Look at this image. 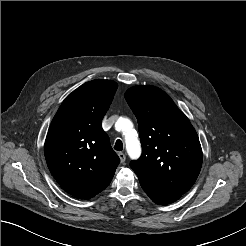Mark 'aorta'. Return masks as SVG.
Instances as JSON below:
<instances>
[{"label": "aorta", "instance_id": "1", "mask_svg": "<svg viewBox=\"0 0 246 246\" xmlns=\"http://www.w3.org/2000/svg\"><path fill=\"white\" fill-rule=\"evenodd\" d=\"M121 126L125 136L126 150L131 159H138L141 155V145L137 137V132L133 129L132 122L127 118L117 121Z\"/></svg>", "mask_w": 246, "mask_h": 246}]
</instances>
